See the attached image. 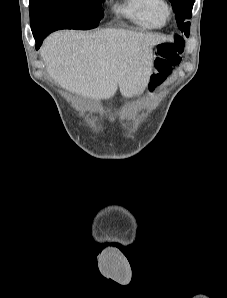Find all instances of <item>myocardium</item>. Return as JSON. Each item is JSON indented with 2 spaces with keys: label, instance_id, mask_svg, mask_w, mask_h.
Here are the masks:
<instances>
[{
  "label": "myocardium",
  "instance_id": "1",
  "mask_svg": "<svg viewBox=\"0 0 227 298\" xmlns=\"http://www.w3.org/2000/svg\"><path fill=\"white\" fill-rule=\"evenodd\" d=\"M170 13V9L168 8V14Z\"/></svg>",
  "mask_w": 227,
  "mask_h": 298
}]
</instances>
